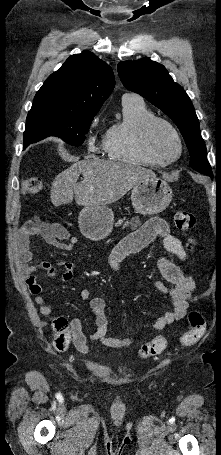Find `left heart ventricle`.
Returning a JSON list of instances; mask_svg holds the SVG:
<instances>
[{
	"mask_svg": "<svg viewBox=\"0 0 221 455\" xmlns=\"http://www.w3.org/2000/svg\"><path fill=\"white\" fill-rule=\"evenodd\" d=\"M153 146L162 155L173 158L177 155L178 146L172 133L163 125H157L152 134Z\"/></svg>",
	"mask_w": 221,
	"mask_h": 455,
	"instance_id": "obj_1",
	"label": "left heart ventricle"
}]
</instances>
